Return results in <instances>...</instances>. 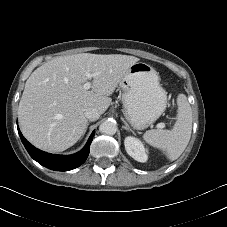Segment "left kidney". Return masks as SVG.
<instances>
[{"label": "left kidney", "instance_id": "left-kidney-1", "mask_svg": "<svg viewBox=\"0 0 227 227\" xmlns=\"http://www.w3.org/2000/svg\"><path fill=\"white\" fill-rule=\"evenodd\" d=\"M124 145L127 153L138 162L147 161V153L142 142L132 136H128L124 140Z\"/></svg>", "mask_w": 227, "mask_h": 227}]
</instances>
